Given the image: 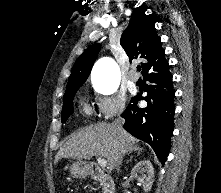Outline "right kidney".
I'll return each mask as SVG.
<instances>
[{"label": "right kidney", "mask_w": 221, "mask_h": 193, "mask_svg": "<svg viewBox=\"0 0 221 193\" xmlns=\"http://www.w3.org/2000/svg\"><path fill=\"white\" fill-rule=\"evenodd\" d=\"M140 174V176H138ZM131 176L137 179L138 184L148 193L154 182V168L149 160H141L131 170Z\"/></svg>", "instance_id": "obj_1"}]
</instances>
